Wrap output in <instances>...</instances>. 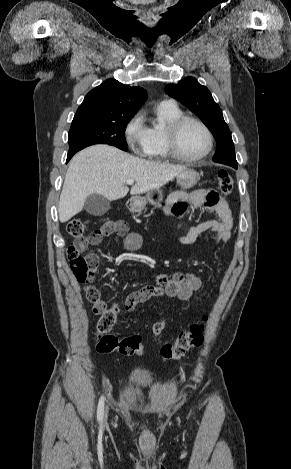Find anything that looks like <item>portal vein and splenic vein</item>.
Returning a JSON list of instances; mask_svg holds the SVG:
<instances>
[{
  "label": "portal vein and splenic vein",
  "instance_id": "obj_1",
  "mask_svg": "<svg viewBox=\"0 0 291 469\" xmlns=\"http://www.w3.org/2000/svg\"><path fill=\"white\" fill-rule=\"evenodd\" d=\"M126 183H127L128 185H132V184H134V180H133V179H129V180H127Z\"/></svg>",
  "mask_w": 291,
  "mask_h": 469
}]
</instances>
